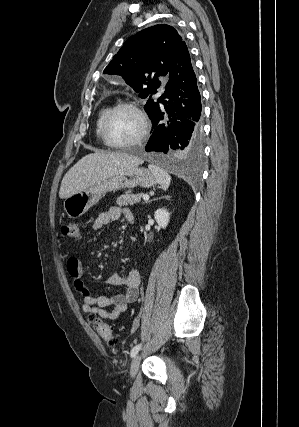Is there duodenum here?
I'll use <instances>...</instances> for the list:
<instances>
[{"mask_svg": "<svg viewBox=\"0 0 299 427\" xmlns=\"http://www.w3.org/2000/svg\"><path fill=\"white\" fill-rule=\"evenodd\" d=\"M134 221V218L133 217H131L130 219H129V222L130 223H132Z\"/></svg>", "mask_w": 299, "mask_h": 427, "instance_id": "obj_1", "label": "duodenum"}]
</instances>
